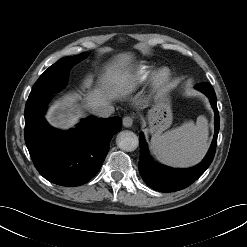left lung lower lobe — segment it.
I'll use <instances>...</instances> for the list:
<instances>
[{"label": "left lung lower lobe", "mask_w": 247, "mask_h": 247, "mask_svg": "<svg viewBox=\"0 0 247 247\" xmlns=\"http://www.w3.org/2000/svg\"><path fill=\"white\" fill-rule=\"evenodd\" d=\"M210 99L215 112V133L210 149L197 166L190 169H172L166 166L155 164L149 154L143 134L139 137L140 160L138 163L139 172L145 183L151 188L160 192H174L182 190L196 181L211 164L216 150L217 136L219 132V114L216 103V94L209 83H201L195 86Z\"/></svg>", "instance_id": "obj_1"}]
</instances>
